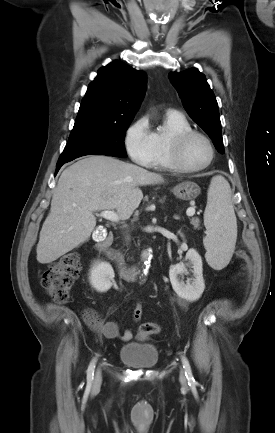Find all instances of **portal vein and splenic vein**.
Listing matches in <instances>:
<instances>
[{
	"label": "portal vein and splenic vein",
	"instance_id": "obj_1",
	"mask_svg": "<svg viewBox=\"0 0 275 433\" xmlns=\"http://www.w3.org/2000/svg\"><path fill=\"white\" fill-rule=\"evenodd\" d=\"M187 216H193L195 214V209L193 207H190L186 211ZM100 216L106 220H109L111 222H118L119 217L114 211L106 210L102 211L100 213Z\"/></svg>",
	"mask_w": 275,
	"mask_h": 433
}]
</instances>
